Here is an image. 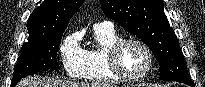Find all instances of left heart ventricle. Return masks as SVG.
Returning <instances> with one entry per match:
<instances>
[{
  "instance_id": "1",
  "label": "left heart ventricle",
  "mask_w": 205,
  "mask_h": 87,
  "mask_svg": "<svg viewBox=\"0 0 205 87\" xmlns=\"http://www.w3.org/2000/svg\"><path fill=\"white\" fill-rule=\"evenodd\" d=\"M119 61L121 68L130 76L141 74L148 64L147 55L144 50L133 43L124 46L120 53Z\"/></svg>"
}]
</instances>
